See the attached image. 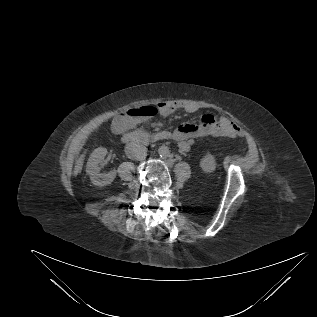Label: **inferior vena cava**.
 I'll return each instance as SVG.
<instances>
[{"label": "inferior vena cava", "mask_w": 317, "mask_h": 317, "mask_svg": "<svg viewBox=\"0 0 317 317\" xmlns=\"http://www.w3.org/2000/svg\"><path fill=\"white\" fill-rule=\"evenodd\" d=\"M125 153L132 160H144L147 156V148L138 142H129L125 146Z\"/></svg>", "instance_id": "602c4592"}]
</instances>
